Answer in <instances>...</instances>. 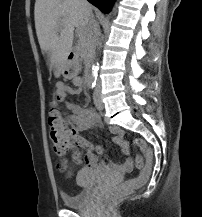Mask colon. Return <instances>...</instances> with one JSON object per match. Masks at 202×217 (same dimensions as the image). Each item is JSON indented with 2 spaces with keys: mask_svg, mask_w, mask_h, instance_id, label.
I'll return each instance as SVG.
<instances>
[{
  "mask_svg": "<svg viewBox=\"0 0 202 217\" xmlns=\"http://www.w3.org/2000/svg\"><path fill=\"white\" fill-rule=\"evenodd\" d=\"M49 137L54 153L61 158L60 168L68 170L71 167L69 159L70 152L75 156L79 152L75 149V143L69 136L67 124L60 110L53 106L48 115ZM135 145L145 154L146 163L137 158L136 163L140 167V174L137 177L131 178L123 184L115 186L102 200L104 205L113 204L120 196L128 193L131 190L140 188L144 185L152 174V150L143 139H136Z\"/></svg>",
  "mask_w": 202,
  "mask_h": 217,
  "instance_id": "obj_1",
  "label": "colon"
}]
</instances>
